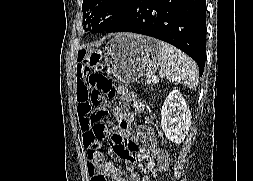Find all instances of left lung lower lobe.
Masks as SVG:
<instances>
[{"instance_id":"left-lung-lower-lobe-1","label":"left lung lower lobe","mask_w":253,"mask_h":181,"mask_svg":"<svg viewBox=\"0 0 253 181\" xmlns=\"http://www.w3.org/2000/svg\"><path fill=\"white\" fill-rule=\"evenodd\" d=\"M206 0H133L109 32H134L168 42L192 57L203 74Z\"/></svg>"}]
</instances>
